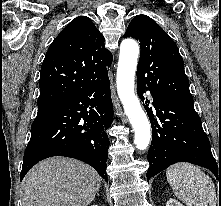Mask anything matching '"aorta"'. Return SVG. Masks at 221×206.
<instances>
[{"instance_id": "1", "label": "aorta", "mask_w": 221, "mask_h": 206, "mask_svg": "<svg viewBox=\"0 0 221 206\" xmlns=\"http://www.w3.org/2000/svg\"><path fill=\"white\" fill-rule=\"evenodd\" d=\"M138 55L139 46L135 40L125 39L121 42L117 68V92L134 129V143L137 149L145 150L150 142L151 129L148 118L134 92Z\"/></svg>"}]
</instances>
